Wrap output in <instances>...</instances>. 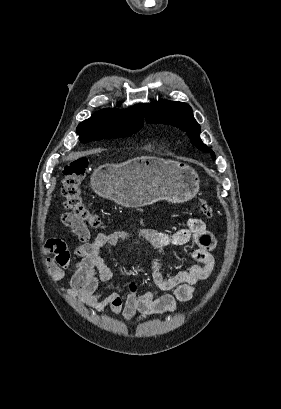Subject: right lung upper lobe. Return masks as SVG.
I'll return each mask as SVG.
<instances>
[{"mask_svg": "<svg viewBox=\"0 0 281 409\" xmlns=\"http://www.w3.org/2000/svg\"><path fill=\"white\" fill-rule=\"evenodd\" d=\"M137 125H143L139 104L124 110L103 109L81 122L78 127H129Z\"/></svg>", "mask_w": 281, "mask_h": 409, "instance_id": "right-lung-upper-lobe-1", "label": "right lung upper lobe"}]
</instances>
